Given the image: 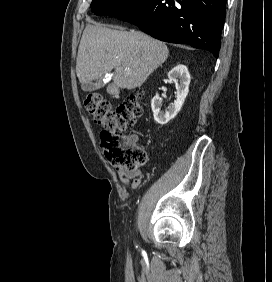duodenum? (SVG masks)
Returning <instances> with one entry per match:
<instances>
[{
    "mask_svg": "<svg viewBox=\"0 0 272 282\" xmlns=\"http://www.w3.org/2000/svg\"><path fill=\"white\" fill-rule=\"evenodd\" d=\"M110 92L113 94V95H118L120 93V88L117 86V85H112L110 87Z\"/></svg>",
    "mask_w": 272,
    "mask_h": 282,
    "instance_id": "1",
    "label": "duodenum"
}]
</instances>
